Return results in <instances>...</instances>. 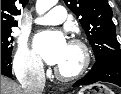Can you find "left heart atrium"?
Returning a JSON list of instances; mask_svg holds the SVG:
<instances>
[{"instance_id":"39dd6f15","label":"left heart atrium","mask_w":121,"mask_h":94,"mask_svg":"<svg viewBox=\"0 0 121 94\" xmlns=\"http://www.w3.org/2000/svg\"><path fill=\"white\" fill-rule=\"evenodd\" d=\"M67 42L59 32H42L35 38V47L40 56L48 63L57 65L67 50Z\"/></svg>"}]
</instances>
